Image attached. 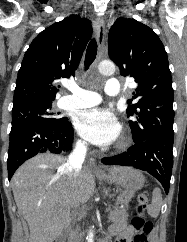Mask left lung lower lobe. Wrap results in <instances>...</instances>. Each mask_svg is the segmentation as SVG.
Wrapping results in <instances>:
<instances>
[{
  "mask_svg": "<svg viewBox=\"0 0 187 242\" xmlns=\"http://www.w3.org/2000/svg\"><path fill=\"white\" fill-rule=\"evenodd\" d=\"M173 140L174 136L152 137L136 142L127 152L101 161L106 165L132 166L147 171L161 182L168 194L173 167Z\"/></svg>",
  "mask_w": 187,
  "mask_h": 242,
  "instance_id": "obj_1",
  "label": "left lung lower lobe"
}]
</instances>
